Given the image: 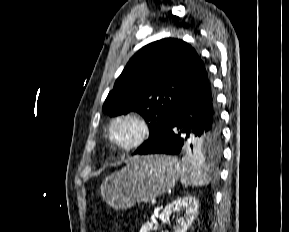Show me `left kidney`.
Wrapping results in <instances>:
<instances>
[{"label":"left kidney","instance_id":"obj_1","mask_svg":"<svg viewBox=\"0 0 289 232\" xmlns=\"http://www.w3.org/2000/svg\"><path fill=\"white\" fill-rule=\"evenodd\" d=\"M174 212L183 214L178 219V225L174 228V232H186L198 214V200L192 196L178 198L164 208L161 216L169 217ZM152 230H154L153 223L147 222L142 226L140 232H151Z\"/></svg>","mask_w":289,"mask_h":232}]
</instances>
